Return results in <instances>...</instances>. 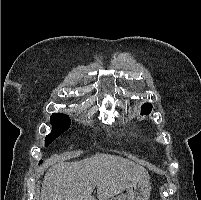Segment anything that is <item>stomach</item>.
<instances>
[{
    "label": "stomach",
    "mask_w": 201,
    "mask_h": 200,
    "mask_svg": "<svg viewBox=\"0 0 201 200\" xmlns=\"http://www.w3.org/2000/svg\"><path fill=\"white\" fill-rule=\"evenodd\" d=\"M150 192L149 180L140 179L127 188V193L112 197L110 200H149Z\"/></svg>",
    "instance_id": "1"
}]
</instances>
